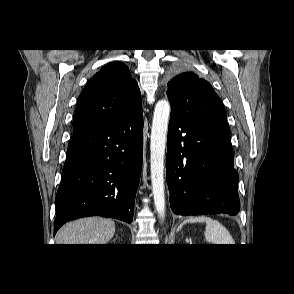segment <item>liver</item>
I'll list each match as a JSON object with an SVG mask.
<instances>
[{"mask_svg":"<svg viewBox=\"0 0 294 294\" xmlns=\"http://www.w3.org/2000/svg\"><path fill=\"white\" fill-rule=\"evenodd\" d=\"M115 233V223L102 217L69 222L56 235L57 244H106Z\"/></svg>","mask_w":294,"mask_h":294,"instance_id":"liver-1","label":"liver"}]
</instances>
